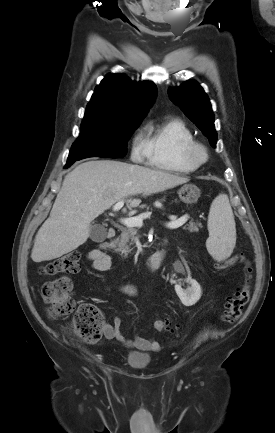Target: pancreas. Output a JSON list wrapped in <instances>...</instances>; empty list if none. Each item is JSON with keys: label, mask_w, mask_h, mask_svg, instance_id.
Returning a JSON list of instances; mask_svg holds the SVG:
<instances>
[{"label": "pancreas", "mask_w": 275, "mask_h": 433, "mask_svg": "<svg viewBox=\"0 0 275 433\" xmlns=\"http://www.w3.org/2000/svg\"><path fill=\"white\" fill-rule=\"evenodd\" d=\"M199 228H202L201 223L194 222L193 220H191L188 224L184 226V229L188 230L191 233L198 232ZM137 231L138 230L134 227L127 226L121 228V235L115 241V244L117 245L116 251L121 252L124 257H126L132 251V249H130V246L136 242Z\"/></svg>", "instance_id": "pancreas-1"}]
</instances>
